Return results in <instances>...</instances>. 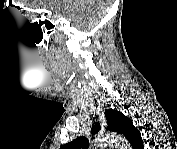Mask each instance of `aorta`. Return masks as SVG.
Returning a JSON list of instances; mask_svg holds the SVG:
<instances>
[{
    "mask_svg": "<svg viewBox=\"0 0 177 149\" xmlns=\"http://www.w3.org/2000/svg\"><path fill=\"white\" fill-rule=\"evenodd\" d=\"M122 144V147H127V144L125 142V139L122 137L115 135V134H105V135H100L97 138H95L93 142V148L98 149V148H103L108 144Z\"/></svg>",
    "mask_w": 177,
    "mask_h": 149,
    "instance_id": "obj_1",
    "label": "aorta"
}]
</instances>
